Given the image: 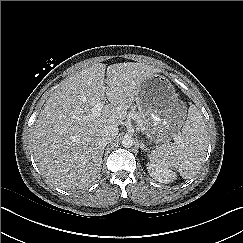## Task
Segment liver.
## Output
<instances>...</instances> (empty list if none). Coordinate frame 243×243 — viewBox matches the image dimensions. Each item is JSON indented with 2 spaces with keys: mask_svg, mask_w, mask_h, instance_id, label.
Instances as JSON below:
<instances>
[{
  "mask_svg": "<svg viewBox=\"0 0 243 243\" xmlns=\"http://www.w3.org/2000/svg\"><path fill=\"white\" fill-rule=\"evenodd\" d=\"M95 63L65 79L47 98L32 129V151L41 173L65 190L89 186L102 168V130L120 125L141 84L159 72L144 63ZM105 83L107 84L105 86ZM107 97L100 115L91 109Z\"/></svg>",
  "mask_w": 243,
  "mask_h": 243,
  "instance_id": "6515ba94",
  "label": "liver"
}]
</instances>
